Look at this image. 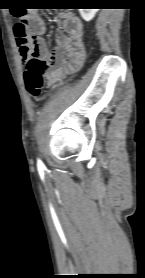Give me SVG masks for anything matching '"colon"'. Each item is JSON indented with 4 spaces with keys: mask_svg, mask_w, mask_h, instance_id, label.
<instances>
[{
    "mask_svg": "<svg viewBox=\"0 0 145 278\" xmlns=\"http://www.w3.org/2000/svg\"><path fill=\"white\" fill-rule=\"evenodd\" d=\"M15 35L20 51H29L31 47V34L27 28L26 21L20 20L15 25ZM77 68H69V73H74ZM24 78L27 91L39 99L47 81V66L39 56H30L24 71Z\"/></svg>",
    "mask_w": 145,
    "mask_h": 278,
    "instance_id": "5ec220e1",
    "label": "colon"
}]
</instances>
